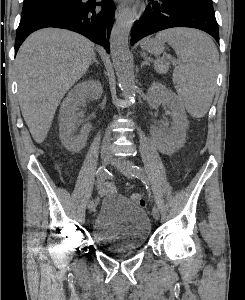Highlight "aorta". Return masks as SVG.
I'll list each match as a JSON object with an SVG mask.
<instances>
[{
    "label": "aorta",
    "instance_id": "aorta-1",
    "mask_svg": "<svg viewBox=\"0 0 245 300\" xmlns=\"http://www.w3.org/2000/svg\"><path fill=\"white\" fill-rule=\"evenodd\" d=\"M133 12L125 10L116 20L110 35L111 56L119 86L124 96L133 100L136 95L134 71L128 38L133 23Z\"/></svg>",
    "mask_w": 245,
    "mask_h": 300
}]
</instances>
